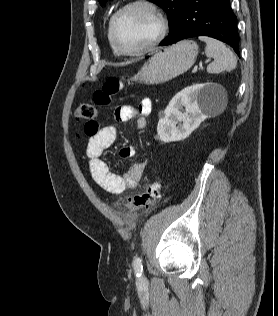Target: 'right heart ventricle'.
<instances>
[{
  "instance_id": "right-heart-ventricle-1",
  "label": "right heart ventricle",
  "mask_w": 278,
  "mask_h": 316,
  "mask_svg": "<svg viewBox=\"0 0 278 316\" xmlns=\"http://www.w3.org/2000/svg\"><path fill=\"white\" fill-rule=\"evenodd\" d=\"M107 39H108V42H109V44H110V47H111L113 53H114L115 55H119V53L116 51V49H115V48L113 47V45H112V42H111V39H110L109 25H108V28H107Z\"/></svg>"
}]
</instances>
